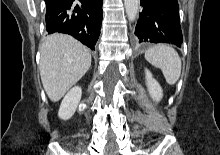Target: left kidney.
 <instances>
[{"label": "left kidney", "instance_id": "left-kidney-1", "mask_svg": "<svg viewBox=\"0 0 220 155\" xmlns=\"http://www.w3.org/2000/svg\"><path fill=\"white\" fill-rule=\"evenodd\" d=\"M145 76H146V85L149 91L150 96L156 100L160 101L163 97V90L160 84L153 78L152 73L145 69Z\"/></svg>", "mask_w": 220, "mask_h": 155}]
</instances>
